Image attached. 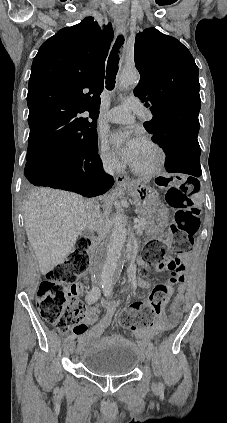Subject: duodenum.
I'll return each mask as SVG.
<instances>
[{
    "label": "duodenum",
    "mask_w": 227,
    "mask_h": 423,
    "mask_svg": "<svg viewBox=\"0 0 227 423\" xmlns=\"http://www.w3.org/2000/svg\"><path fill=\"white\" fill-rule=\"evenodd\" d=\"M127 252H128V255H130L132 258L135 257V251L133 247H130Z\"/></svg>",
    "instance_id": "1"
}]
</instances>
